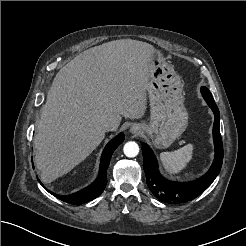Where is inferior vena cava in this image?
Segmentation results:
<instances>
[{"label": "inferior vena cava", "instance_id": "602c4592", "mask_svg": "<svg viewBox=\"0 0 246 246\" xmlns=\"http://www.w3.org/2000/svg\"><path fill=\"white\" fill-rule=\"evenodd\" d=\"M102 128L106 132L116 130L117 127L112 121L106 120L102 123Z\"/></svg>", "mask_w": 246, "mask_h": 246}]
</instances>
